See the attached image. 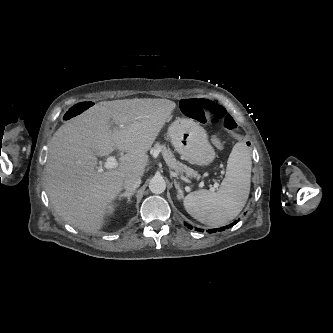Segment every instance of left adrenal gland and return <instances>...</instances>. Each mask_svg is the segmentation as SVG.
<instances>
[{
    "mask_svg": "<svg viewBox=\"0 0 333 333\" xmlns=\"http://www.w3.org/2000/svg\"><path fill=\"white\" fill-rule=\"evenodd\" d=\"M174 185H175V188L177 189L178 191V198L181 199L183 197V191L181 190L180 188V184L177 183L175 180H174Z\"/></svg>",
    "mask_w": 333,
    "mask_h": 333,
    "instance_id": "1",
    "label": "left adrenal gland"
}]
</instances>
